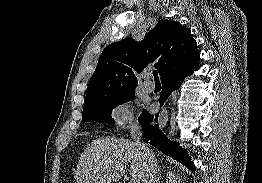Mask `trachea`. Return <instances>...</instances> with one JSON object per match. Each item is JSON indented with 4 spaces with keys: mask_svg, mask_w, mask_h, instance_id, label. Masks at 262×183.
Instances as JSON below:
<instances>
[{
    "mask_svg": "<svg viewBox=\"0 0 262 183\" xmlns=\"http://www.w3.org/2000/svg\"><path fill=\"white\" fill-rule=\"evenodd\" d=\"M153 76H154V81L155 82H160V80L158 78V72L156 70L153 71Z\"/></svg>",
    "mask_w": 262,
    "mask_h": 183,
    "instance_id": "obj_1",
    "label": "trachea"
}]
</instances>
